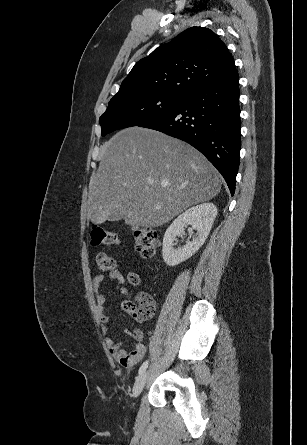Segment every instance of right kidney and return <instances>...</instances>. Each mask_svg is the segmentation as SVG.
I'll use <instances>...</instances> for the list:
<instances>
[{
    "mask_svg": "<svg viewBox=\"0 0 307 445\" xmlns=\"http://www.w3.org/2000/svg\"><path fill=\"white\" fill-rule=\"evenodd\" d=\"M217 214V206L213 202H203L197 206H191L180 216L173 220L163 237L162 257L169 267L180 265L183 261L190 259L194 253L205 243L214 223ZM192 225V229L197 231L193 241H187L186 245L173 249L174 241L178 235L184 233V227Z\"/></svg>",
    "mask_w": 307,
    "mask_h": 445,
    "instance_id": "obj_1",
    "label": "right kidney"
}]
</instances>
